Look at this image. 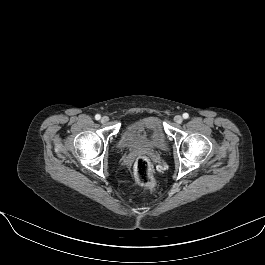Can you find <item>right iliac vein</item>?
I'll return each instance as SVG.
<instances>
[{
  "label": "right iliac vein",
  "mask_w": 265,
  "mask_h": 265,
  "mask_svg": "<svg viewBox=\"0 0 265 265\" xmlns=\"http://www.w3.org/2000/svg\"><path fill=\"white\" fill-rule=\"evenodd\" d=\"M108 121H109V118H108L107 116H103V117L101 118V123H103V124L108 123Z\"/></svg>",
  "instance_id": "obj_1"
}]
</instances>
